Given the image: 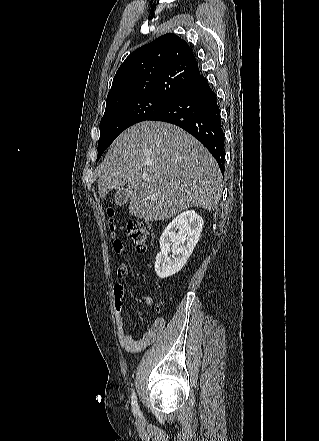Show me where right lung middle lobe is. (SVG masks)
<instances>
[{
  "label": "right lung middle lobe",
  "instance_id": "dd1d6c3e",
  "mask_svg": "<svg viewBox=\"0 0 319 441\" xmlns=\"http://www.w3.org/2000/svg\"><path fill=\"white\" fill-rule=\"evenodd\" d=\"M170 101L171 99L145 96L107 108L100 121L97 160L122 131L133 124L148 120Z\"/></svg>",
  "mask_w": 319,
  "mask_h": 441
}]
</instances>
